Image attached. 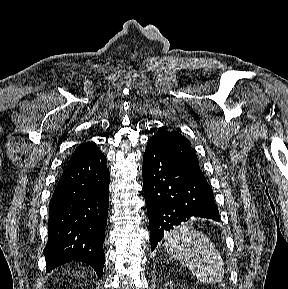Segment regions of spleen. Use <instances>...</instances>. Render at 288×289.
I'll list each match as a JSON object with an SVG mask.
<instances>
[{"mask_svg":"<svg viewBox=\"0 0 288 289\" xmlns=\"http://www.w3.org/2000/svg\"><path fill=\"white\" fill-rule=\"evenodd\" d=\"M164 248L199 281L213 284L223 279L224 264L219 251L206 235L193 226L182 223L167 232Z\"/></svg>","mask_w":288,"mask_h":289,"instance_id":"3e777b00","label":"spleen"}]
</instances>
